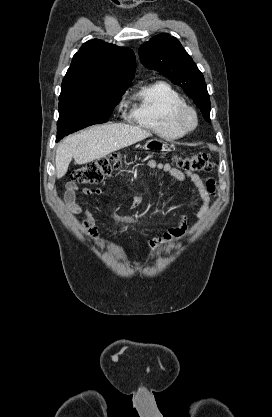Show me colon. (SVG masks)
<instances>
[{
    "instance_id": "colon-1",
    "label": "colon",
    "mask_w": 272,
    "mask_h": 417,
    "mask_svg": "<svg viewBox=\"0 0 272 417\" xmlns=\"http://www.w3.org/2000/svg\"><path fill=\"white\" fill-rule=\"evenodd\" d=\"M176 163L188 172H210L214 169V162L206 153L178 157ZM120 165L119 155L102 157L75 169L71 174V180L78 184H95L118 169Z\"/></svg>"
}]
</instances>
